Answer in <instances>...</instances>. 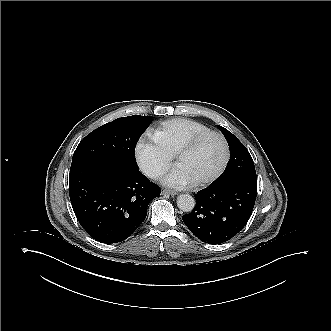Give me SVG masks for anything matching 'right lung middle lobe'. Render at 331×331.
Returning <instances> with one entry per match:
<instances>
[{
  "label": "right lung middle lobe",
  "instance_id": "dd1d6c3e",
  "mask_svg": "<svg viewBox=\"0 0 331 331\" xmlns=\"http://www.w3.org/2000/svg\"><path fill=\"white\" fill-rule=\"evenodd\" d=\"M150 116L118 118L92 131L77 146L71 169L86 164H114L130 173L139 172L135 146L150 125Z\"/></svg>",
  "mask_w": 331,
  "mask_h": 331
}]
</instances>
